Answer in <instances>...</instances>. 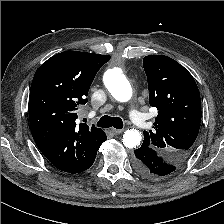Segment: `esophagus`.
<instances>
[{
    "mask_svg": "<svg viewBox=\"0 0 224 224\" xmlns=\"http://www.w3.org/2000/svg\"><path fill=\"white\" fill-rule=\"evenodd\" d=\"M124 130L123 129H112V132L114 135H119L123 132Z\"/></svg>",
    "mask_w": 224,
    "mask_h": 224,
    "instance_id": "34e87169",
    "label": "esophagus"
}]
</instances>
